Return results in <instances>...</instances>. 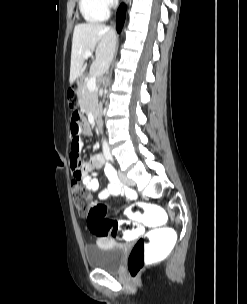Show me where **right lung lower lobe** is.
<instances>
[{
	"mask_svg": "<svg viewBox=\"0 0 247 304\" xmlns=\"http://www.w3.org/2000/svg\"><path fill=\"white\" fill-rule=\"evenodd\" d=\"M126 6L121 4L117 12V31L120 32L125 20Z\"/></svg>",
	"mask_w": 247,
	"mask_h": 304,
	"instance_id": "obj_1",
	"label": "right lung lower lobe"
}]
</instances>
